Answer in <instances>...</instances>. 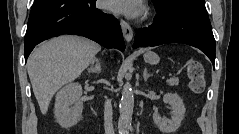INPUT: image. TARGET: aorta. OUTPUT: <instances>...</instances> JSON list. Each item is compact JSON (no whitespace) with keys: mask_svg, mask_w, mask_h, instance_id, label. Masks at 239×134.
<instances>
[{"mask_svg":"<svg viewBox=\"0 0 239 134\" xmlns=\"http://www.w3.org/2000/svg\"><path fill=\"white\" fill-rule=\"evenodd\" d=\"M134 108V94L132 86L127 79L123 86L122 98L119 105L120 116L118 120L119 134H128L132 124V114Z\"/></svg>","mask_w":239,"mask_h":134,"instance_id":"aorta-1","label":"aorta"}]
</instances>
